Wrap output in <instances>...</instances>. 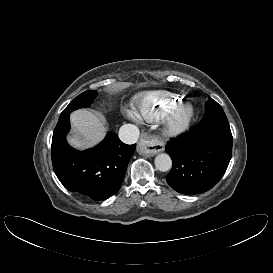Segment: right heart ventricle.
I'll return each mask as SVG.
<instances>
[{"label":"right heart ventricle","mask_w":273,"mask_h":273,"mask_svg":"<svg viewBox=\"0 0 273 273\" xmlns=\"http://www.w3.org/2000/svg\"><path fill=\"white\" fill-rule=\"evenodd\" d=\"M181 101L180 95L169 91H150L138 95L134 107L140 118L155 122L167 116Z\"/></svg>","instance_id":"1"}]
</instances>
